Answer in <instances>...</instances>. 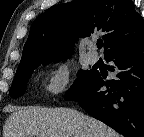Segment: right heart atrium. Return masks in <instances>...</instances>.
I'll list each match as a JSON object with an SVG mask.
<instances>
[{
	"label": "right heart atrium",
	"mask_w": 144,
	"mask_h": 137,
	"mask_svg": "<svg viewBox=\"0 0 144 137\" xmlns=\"http://www.w3.org/2000/svg\"><path fill=\"white\" fill-rule=\"evenodd\" d=\"M71 78V70L67 63L57 64L51 71L46 85L45 92L49 96H58L66 91Z\"/></svg>",
	"instance_id": "obj_1"
}]
</instances>
